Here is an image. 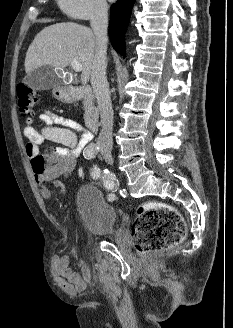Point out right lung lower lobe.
<instances>
[{"instance_id": "1", "label": "right lung lower lobe", "mask_w": 233, "mask_h": 328, "mask_svg": "<svg viewBox=\"0 0 233 328\" xmlns=\"http://www.w3.org/2000/svg\"><path fill=\"white\" fill-rule=\"evenodd\" d=\"M135 0H119L111 6L109 35L114 49L125 56L124 33L129 22Z\"/></svg>"}]
</instances>
